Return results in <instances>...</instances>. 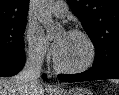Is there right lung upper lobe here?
<instances>
[{
  "mask_svg": "<svg viewBox=\"0 0 119 95\" xmlns=\"http://www.w3.org/2000/svg\"><path fill=\"white\" fill-rule=\"evenodd\" d=\"M29 0H0V25L26 21Z\"/></svg>",
  "mask_w": 119,
  "mask_h": 95,
  "instance_id": "right-lung-upper-lobe-1",
  "label": "right lung upper lobe"
}]
</instances>
